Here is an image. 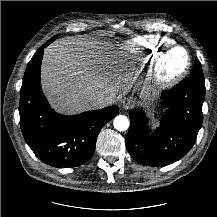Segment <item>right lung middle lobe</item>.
I'll return each instance as SVG.
<instances>
[{
  "label": "right lung middle lobe",
  "mask_w": 217,
  "mask_h": 217,
  "mask_svg": "<svg viewBox=\"0 0 217 217\" xmlns=\"http://www.w3.org/2000/svg\"><path fill=\"white\" fill-rule=\"evenodd\" d=\"M56 37H57V36L52 37V38L49 40V42L54 41V40L56 39Z\"/></svg>",
  "instance_id": "obj_1"
}]
</instances>
